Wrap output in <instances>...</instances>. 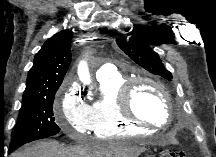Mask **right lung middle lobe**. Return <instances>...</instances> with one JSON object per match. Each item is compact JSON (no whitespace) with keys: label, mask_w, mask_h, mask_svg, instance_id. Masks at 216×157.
Segmentation results:
<instances>
[{"label":"right lung middle lobe","mask_w":216,"mask_h":157,"mask_svg":"<svg viewBox=\"0 0 216 157\" xmlns=\"http://www.w3.org/2000/svg\"><path fill=\"white\" fill-rule=\"evenodd\" d=\"M56 91L22 99L10 148L16 149L28 142L53 136L60 131L53 114Z\"/></svg>","instance_id":"dd1d6c3e"}]
</instances>
